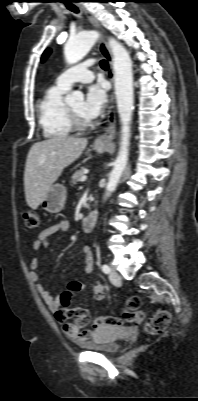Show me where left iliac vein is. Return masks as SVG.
Returning a JSON list of instances; mask_svg holds the SVG:
<instances>
[{
    "label": "left iliac vein",
    "mask_w": 198,
    "mask_h": 401,
    "mask_svg": "<svg viewBox=\"0 0 198 401\" xmlns=\"http://www.w3.org/2000/svg\"><path fill=\"white\" fill-rule=\"evenodd\" d=\"M109 280L111 281L112 284L114 285H119L121 283V277L119 275V273L112 269L108 275Z\"/></svg>",
    "instance_id": "4c4485c4"
}]
</instances>
